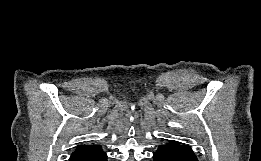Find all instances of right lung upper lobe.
I'll return each mask as SVG.
<instances>
[{
  "label": "right lung upper lobe",
  "instance_id": "cb5924a9",
  "mask_svg": "<svg viewBox=\"0 0 261 161\" xmlns=\"http://www.w3.org/2000/svg\"><path fill=\"white\" fill-rule=\"evenodd\" d=\"M83 146H86V145H80L79 147H83Z\"/></svg>",
  "mask_w": 261,
  "mask_h": 161
}]
</instances>
